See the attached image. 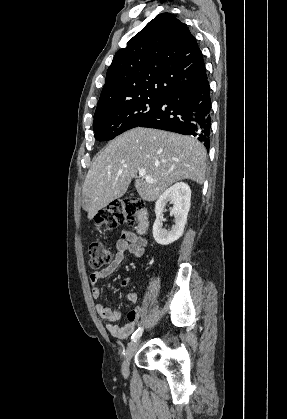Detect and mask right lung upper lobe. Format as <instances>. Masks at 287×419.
<instances>
[{
	"label": "right lung upper lobe",
	"instance_id": "cb5924a9",
	"mask_svg": "<svg viewBox=\"0 0 287 419\" xmlns=\"http://www.w3.org/2000/svg\"><path fill=\"white\" fill-rule=\"evenodd\" d=\"M206 76L195 37L173 14L162 13L115 54L95 113L133 99L164 98Z\"/></svg>",
	"mask_w": 287,
	"mask_h": 419
}]
</instances>
